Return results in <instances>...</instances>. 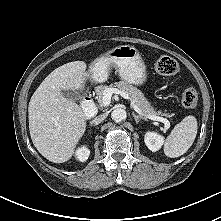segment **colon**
<instances>
[{
    "label": "colon",
    "mask_w": 221,
    "mask_h": 221,
    "mask_svg": "<svg viewBox=\"0 0 221 221\" xmlns=\"http://www.w3.org/2000/svg\"><path fill=\"white\" fill-rule=\"evenodd\" d=\"M155 68L158 73L166 76H172L178 73V62L170 57L162 55L155 62ZM182 104L187 109H195L199 104L198 92L194 88H187L182 93Z\"/></svg>",
    "instance_id": "obj_1"
}]
</instances>
